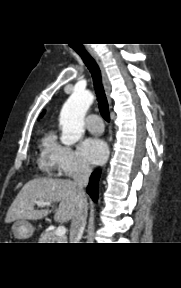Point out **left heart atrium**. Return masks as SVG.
I'll use <instances>...</instances> for the list:
<instances>
[{"label": "left heart atrium", "mask_w": 181, "mask_h": 288, "mask_svg": "<svg viewBox=\"0 0 181 288\" xmlns=\"http://www.w3.org/2000/svg\"><path fill=\"white\" fill-rule=\"evenodd\" d=\"M81 156L89 163H102L108 154L106 143L99 138L90 137L82 141L79 146Z\"/></svg>", "instance_id": "1"}]
</instances>
